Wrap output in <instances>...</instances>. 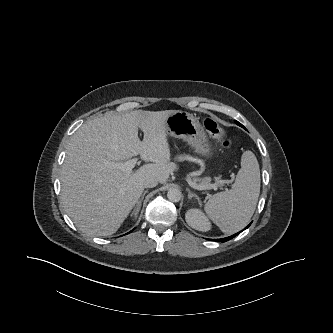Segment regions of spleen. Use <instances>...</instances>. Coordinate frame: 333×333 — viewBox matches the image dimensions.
I'll list each match as a JSON object with an SVG mask.
<instances>
[{
  "instance_id": "spleen-1",
  "label": "spleen",
  "mask_w": 333,
  "mask_h": 333,
  "mask_svg": "<svg viewBox=\"0 0 333 333\" xmlns=\"http://www.w3.org/2000/svg\"><path fill=\"white\" fill-rule=\"evenodd\" d=\"M259 163L251 151L241 157V168L230 190L214 194L205 204L209 218L226 234L244 228L251 219L260 193Z\"/></svg>"
}]
</instances>
